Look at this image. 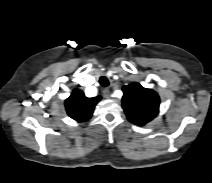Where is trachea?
I'll use <instances>...</instances> for the list:
<instances>
[{
	"label": "trachea",
	"mask_w": 212,
	"mask_h": 183,
	"mask_svg": "<svg viewBox=\"0 0 212 183\" xmlns=\"http://www.w3.org/2000/svg\"><path fill=\"white\" fill-rule=\"evenodd\" d=\"M99 83H100L101 86H103V87L109 86V80H108V78H107L106 76L100 77Z\"/></svg>",
	"instance_id": "trachea-1"
}]
</instances>
